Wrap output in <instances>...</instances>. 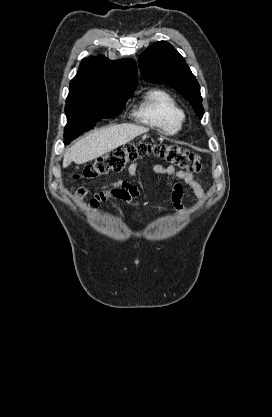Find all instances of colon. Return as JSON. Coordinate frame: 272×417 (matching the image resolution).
<instances>
[{"mask_svg":"<svg viewBox=\"0 0 272 417\" xmlns=\"http://www.w3.org/2000/svg\"><path fill=\"white\" fill-rule=\"evenodd\" d=\"M149 154H157L172 165L189 173L200 172L203 169L199 156L184 148L171 144L150 145L142 142L128 144L110 151L89 163L82 174L75 177L95 179L110 172L120 171L128 162Z\"/></svg>","mask_w":272,"mask_h":417,"instance_id":"obj_1","label":"colon"}]
</instances>
